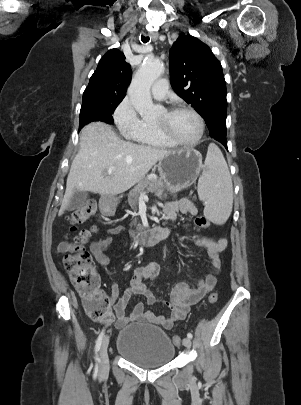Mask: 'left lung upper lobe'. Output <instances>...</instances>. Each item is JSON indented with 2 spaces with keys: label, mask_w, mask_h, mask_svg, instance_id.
<instances>
[{
  "label": "left lung upper lobe",
  "mask_w": 301,
  "mask_h": 405,
  "mask_svg": "<svg viewBox=\"0 0 301 405\" xmlns=\"http://www.w3.org/2000/svg\"><path fill=\"white\" fill-rule=\"evenodd\" d=\"M169 59L174 91L201 114L212 138H226V83L210 48L191 35L180 36Z\"/></svg>",
  "instance_id": "obj_1"
}]
</instances>
